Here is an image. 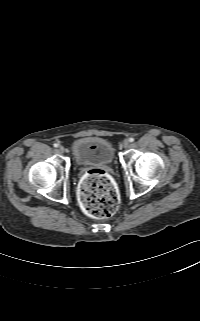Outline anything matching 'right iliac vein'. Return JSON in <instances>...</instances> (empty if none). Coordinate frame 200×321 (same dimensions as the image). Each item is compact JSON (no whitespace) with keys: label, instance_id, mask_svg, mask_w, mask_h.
<instances>
[{"label":"right iliac vein","instance_id":"1","mask_svg":"<svg viewBox=\"0 0 200 321\" xmlns=\"http://www.w3.org/2000/svg\"><path fill=\"white\" fill-rule=\"evenodd\" d=\"M58 151H59L60 153H64L65 148H64L63 146H59V147H58Z\"/></svg>","mask_w":200,"mask_h":321}]
</instances>
